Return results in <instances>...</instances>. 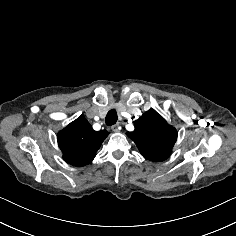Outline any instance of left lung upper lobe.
Returning <instances> with one entry per match:
<instances>
[{
	"label": "left lung upper lobe",
	"instance_id": "1",
	"mask_svg": "<svg viewBox=\"0 0 236 236\" xmlns=\"http://www.w3.org/2000/svg\"><path fill=\"white\" fill-rule=\"evenodd\" d=\"M135 130L127 132L141 155L154 162L166 160L177 139V131L154 109L145 112L134 122Z\"/></svg>",
	"mask_w": 236,
	"mask_h": 236
}]
</instances>
